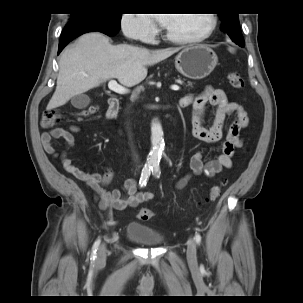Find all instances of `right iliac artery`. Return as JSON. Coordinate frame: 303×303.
Masks as SVG:
<instances>
[{"label":"right iliac artery","mask_w":303,"mask_h":303,"mask_svg":"<svg viewBox=\"0 0 303 303\" xmlns=\"http://www.w3.org/2000/svg\"><path fill=\"white\" fill-rule=\"evenodd\" d=\"M151 170H152V166L151 165H145L144 168L142 169V173H141V177H140V180H139V184L141 187L145 186L147 181H148V178L151 174ZM100 238H98L93 247H92V253H91V259L92 260H95L96 259V252H97V249L100 245Z\"/></svg>","instance_id":"82829eb1"}]
</instances>
